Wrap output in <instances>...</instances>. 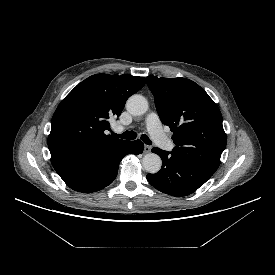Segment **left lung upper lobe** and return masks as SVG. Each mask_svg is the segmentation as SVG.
<instances>
[{
	"mask_svg": "<svg viewBox=\"0 0 275 275\" xmlns=\"http://www.w3.org/2000/svg\"><path fill=\"white\" fill-rule=\"evenodd\" d=\"M147 84L162 123L173 131L172 152L213 175L227 141L217 104L186 78L148 76Z\"/></svg>",
	"mask_w": 275,
	"mask_h": 275,
	"instance_id": "5c2ea615",
	"label": "left lung upper lobe"
}]
</instances>
